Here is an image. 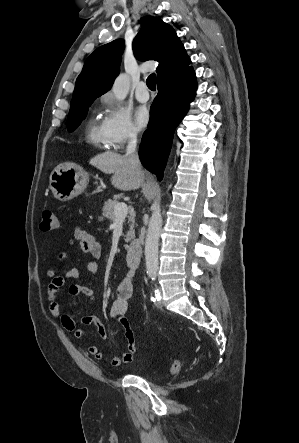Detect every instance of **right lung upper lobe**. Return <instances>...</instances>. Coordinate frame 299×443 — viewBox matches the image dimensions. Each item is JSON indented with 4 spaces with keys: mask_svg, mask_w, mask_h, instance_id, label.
Instances as JSON below:
<instances>
[{
    "mask_svg": "<svg viewBox=\"0 0 299 443\" xmlns=\"http://www.w3.org/2000/svg\"><path fill=\"white\" fill-rule=\"evenodd\" d=\"M124 40L118 39L97 48L86 60L78 76L71 107L94 101L106 93L120 72ZM136 58L159 62L158 81L180 77L192 69L191 60L174 29L161 19L147 16L132 44Z\"/></svg>",
    "mask_w": 299,
    "mask_h": 443,
    "instance_id": "obj_1",
    "label": "right lung upper lobe"
}]
</instances>
